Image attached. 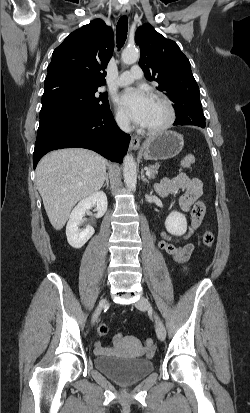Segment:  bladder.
I'll return each mask as SVG.
<instances>
[{
	"label": "bladder",
	"instance_id": "obj_1",
	"mask_svg": "<svg viewBox=\"0 0 250 413\" xmlns=\"http://www.w3.org/2000/svg\"><path fill=\"white\" fill-rule=\"evenodd\" d=\"M93 362L99 371L123 385L139 382L153 370L152 361L145 358L101 355L95 357Z\"/></svg>",
	"mask_w": 250,
	"mask_h": 413
}]
</instances>
